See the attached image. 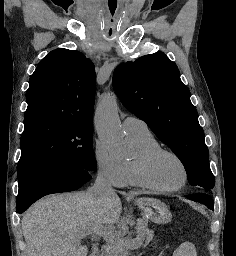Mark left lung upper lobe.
Returning <instances> with one entry per match:
<instances>
[{"mask_svg": "<svg viewBox=\"0 0 236 256\" xmlns=\"http://www.w3.org/2000/svg\"><path fill=\"white\" fill-rule=\"evenodd\" d=\"M113 87L123 105L181 160L190 185L212 189L215 180L204 132L176 64L163 53L120 64Z\"/></svg>", "mask_w": 236, "mask_h": 256, "instance_id": "5c2ea615", "label": "left lung upper lobe"}]
</instances>
